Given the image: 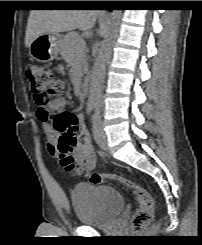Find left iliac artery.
<instances>
[{"mask_svg": "<svg viewBox=\"0 0 202 245\" xmlns=\"http://www.w3.org/2000/svg\"><path fill=\"white\" fill-rule=\"evenodd\" d=\"M96 117L99 118V112L97 113Z\"/></svg>", "mask_w": 202, "mask_h": 245, "instance_id": "1", "label": "left iliac artery"}]
</instances>
